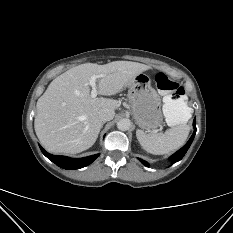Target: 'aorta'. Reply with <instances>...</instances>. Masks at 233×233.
<instances>
[{
	"mask_svg": "<svg viewBox=\"0 0 233 233\" xmlns=\"http://www.w3.org/2000/svg\"><path fill=\"white\" fill-rule=\"evenodd\" d=\"M131 127V121L127 118L120 119L117 122V128L121 131H127Z\"/></svg>",
	"mask_w": 233,
	"mask_h": 233,
	"instance_id": "aorta-1",
	"label": "aorta"
}]
</instances>
